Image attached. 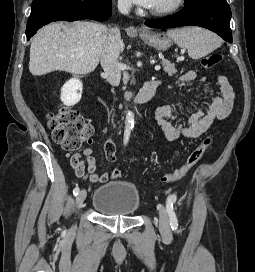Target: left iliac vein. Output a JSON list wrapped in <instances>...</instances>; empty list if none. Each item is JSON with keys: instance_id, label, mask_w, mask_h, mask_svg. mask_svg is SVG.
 I'll return each instance as SVG.
<instances>
[{"instance_id": "1", "label": "left iliac vein", "mask_w": 255, "mask_h": 272, "mask_svg": "<svg viewBox=\"0 0 255 272\" xmlns=\"http://www.w3.org/2000/svg\"><path fill=\"white\" fill-rule=\"evenodd\" d=\"M159 230L164 237H171L169 218L164 206L159 209Z\"/></svg>"}]
</instances>
